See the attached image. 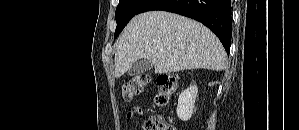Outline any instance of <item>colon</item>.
I'll list each match as a JSON object with an SVG mask.
<instances>
[{"label":"colon","instance_id":"obj_1","mask_svg":"<svg viewBox=\"0 0 299 130\" xmlns=\"http://www.w3.org/2000/svg\"><path fill=\"white\" fill-rule=\"evenodd\" d=\"M150 76L141 73L132 77L122 85V96L126 101H131L142 94L150 83ZM177 76L174 74H161L157 78L158 90L154 96V103L157 107L166 106L177 89ZM143 130H177V128L166 122L160 116H152L144 123Z\"/></svg>","mask_w":299,"mask_h":130}]
</instances>
